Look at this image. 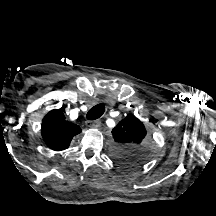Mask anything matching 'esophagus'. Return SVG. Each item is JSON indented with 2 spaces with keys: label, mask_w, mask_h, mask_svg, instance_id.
I'll use <instances>...</instances> for the list:
<instances>
[{
  "label": "esophagus",
  "mask_w": 216,
  "mask_h": 216,
  "mask_svg": "<svg viewBox=\"0 0 216 216\" xmlns=\"http://www.w3.org/2000/svg\"><path fill=\"white\" fill-rule=\"evenodd\" d=\"M101 124V121L99 119L97 120H91L86 122V127L87 128H96L99 127Z\"/></svg>",
  "instance_id": "esophagus-1"
}]
</instances>
